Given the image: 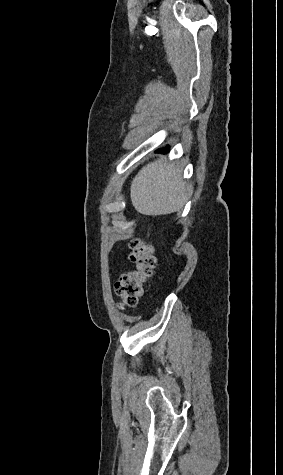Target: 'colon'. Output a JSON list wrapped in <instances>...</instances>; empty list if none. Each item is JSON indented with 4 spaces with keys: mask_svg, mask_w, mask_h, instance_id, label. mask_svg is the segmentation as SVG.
Instances as JSON below:
<instances>
[{
    "mask_svg": "<svg viewBox=\"0 0 283 475\" xmlns=\"http://www.w3.org/2000/svg\"><path fill=\"white\" fill-rule=\"evenodd\" d=\"M129 261L134 269L124 272L115 284V293L121 298L122 306L135 307L144 292V285L156 268L157 260L152 243L134 239L131 242Z\"/></svg>",
    "mask_w": 283,
    "mask_h": 475,
    "instance_id": "1",
    "label": "colon"
}]
</instances>
